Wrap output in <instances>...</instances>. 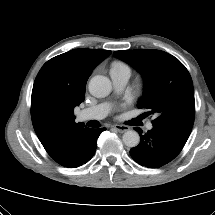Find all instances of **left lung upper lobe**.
<instances>
[{
	"mask_svg": "<svg viewBox=\"0 0 215 215\" xmlns=\"http://www.w3.org/2000/svg\"><path fill=\"white\" fill-rule=\"evenodd\" d=\"M113 55L139 71L145 81L138 108L154 114L153 126L186 142L194 123L195 100L191 76L174 56L160 50L116 51Z\"/></svg>",
	"mask_w": 215,
	"mask_h": 215,
	"instance_id": "5c2ea615",
	"label": "left lung upper lobe"
}]
</instances>
